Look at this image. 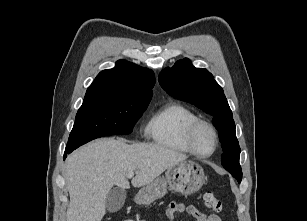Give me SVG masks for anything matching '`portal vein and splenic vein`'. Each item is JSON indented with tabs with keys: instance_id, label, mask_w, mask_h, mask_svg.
I'll list each match as a JSON object with an SVG mask.
<instances>
[{
	"instance_id": "18ae733b",
	"label": "portal vein and splenic vein",
	"mask_w": 307,
	"mask_h": 221,
	"mask_svg": "<svg viewBox=\"0 0 307 221\" xmlns=\"http://www.w3.org/2000/svg\"><path fill=\"white\" fill-rule=\"evenodd\" d=\"M134 176V172H129L128 174H127V177L128 178H132Z\"/></svg>"
}]
</instances>
